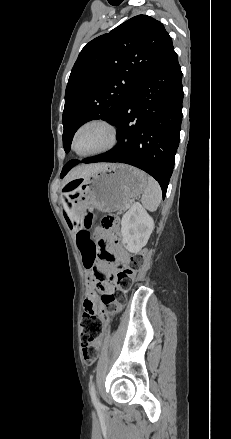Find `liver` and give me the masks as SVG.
I'll return each instance as SVG.
<instances>
[{
  "label": "liver",
  "mask_w": 231,
  "mask_h": 439,
  "mask_svg": "<svg viewBox=\"0 0 231 439\" xmlns=\"http://www.w3.org/2000/svg\"><path fill=\"white\" fill-rule=\"evenodd\" d=\"M112 164L107 163H96V164H90V165H80L75 168H73L65 177L64 184H67L68 182L77 179V178H86L90 175L107 168Z\"/></svg>",
  "instance_id": "liver-1"
}]
</instances>
